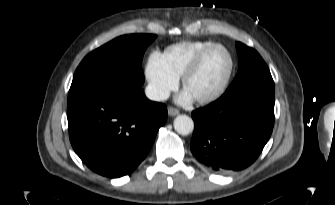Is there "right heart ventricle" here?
Here are the masks:
<instances>
[{
	"label": "right heart ventricle",
	"mask_w": 335,
	"mask_h": 205,
	"mask_svg": "<svg viewBox=\"0 0 335 205\" xmlns=\"http://www.w3.org/2000/svg\"><path fill=\"white\" fill-rule=\"evenodd\" d=\"M211 44H213L212 41H181L168 46L162 56L168 68L180 77L195 56Z\"/></svg>",
	"instance_id": "1"
}]
</instances>
